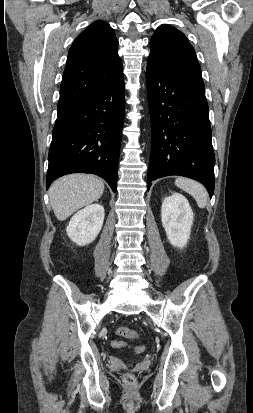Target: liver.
Masks as SVG:
<instances>
[{
  "label": "liver",
  "mask_w": 253,
  "mask_h": 413,
  "mask_svg": "<svg viewBox=\"0 0 253 413\" xmlns=\"http://www.w3.org/2000/svg\"><path fill=\"white\" fill-rule=\"evenodd\" d=\"M104 192L102 180L89 174H70L56 180L49 197L56 218L66 220L70 215L97 201Z\"/></svg>",
  "instance_id": "6515ba94"
}]
</instances>
